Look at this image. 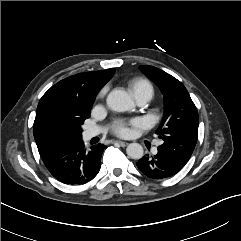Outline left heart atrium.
<instances>
[{"instance_id": "39dd6f15", "label": "left heart atrium", "mask_w": 241, "mask_h": 241, "mask_svg": "<svg viewBox=\"0 0 241 241\" xmlns=\"http://www.w3.org/2000/svg\"><path fill=\"white\" fill-rule=\"evenodd\" d=\"M143 124L144 123L141 119L132 120L130 123L117 122L113 127V131L121 137H127L131 133V130L129 128L130 125L136 126V127H142Z\"/></svg>"}]
</instances>
